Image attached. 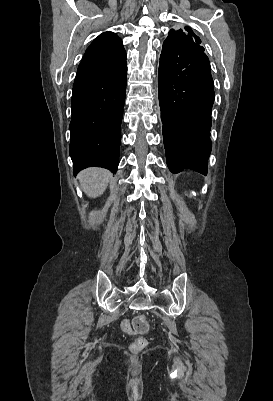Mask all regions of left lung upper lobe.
<instances>
[{
	"mask_svg": "<svg viewBox=\"0 0 273 401\" xmlns=\"http://www.w3.org/2000/svg\"><path fill=\"white\" fill-rule=\"evenodd\" d=\"M188 40H193L197 44L201 43V40L198 36L194 34V32L189 27H185V30H174L171 29L169 31L168 37L164 42L169 43H177V42H185Z\"/></svg>",
	"mask_w": 273,
	"mask_h": 401,
	"instance_id": "1",
	"label": "left lung upper lobe"
}]
</instances>
